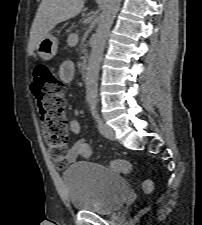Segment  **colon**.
<instances>
[{
    "label": "colon",
    "instance_id": "obj_1",
    "mask_svg": "<svg viewBox=\"0 0 202 225\" xmlns=\"http://www.w3.org/2000/svg\"><path fill=\"white\" fill-rule=\"evenodd\" d=\"M33 92L37 99L40 129L46 145L53 158L63 163L68 153L69 135L65 115L66 84L58 79L53 69L45 63H38L33 69ZM133 164L128 160H113L110 168L116 173L131 172ZM142 189L147 194L155 190L151 180L142 183Z\"/></svg>",
    "mask_w": 202,
    "mask_h": 225
}]
</instances>
